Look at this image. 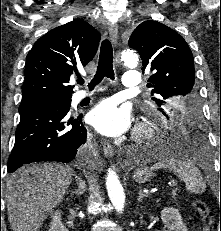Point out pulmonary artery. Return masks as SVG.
I'll list each match as a JSON object with an SVG mask.
<instances>
[{
  "label": "pulmonary artery",
  "mask_w": 221,
  "mask_h": 231,
  "mask_svg": "<svg viewBox=\"0 0 221 231\" xmlns=\"http://www.w3.org/2000/svg\"><path fill=\"white\" fill-rule=\"evenodd\" d=\"M122 84L125 88H136L142 84V75L137 71H127L124 74ZM88 96V93L85 91H78L73 96V103L76 104L85 97Z\"/></svg>",
  "instance_id": "e3ab8cb5"
}]
</instances>
